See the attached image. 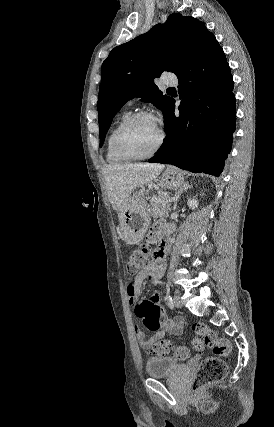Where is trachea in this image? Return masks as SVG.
<instances>
[{
    "label": "trachea",
    "instance_id": "trachea-1",
    "mask_svg": "<svg viewBox=\"0 0 274 427\" xmlns=\"http://www.w3.org/2000/svg\"><path fill=\"white\" fill-rule=\"evenodd\" d=\"M167 90H175L173 87L172 88H170V89H167Z\"/></svg>",
    "mask_w": 274,
    "mask_h": 427
}]
</instances>
